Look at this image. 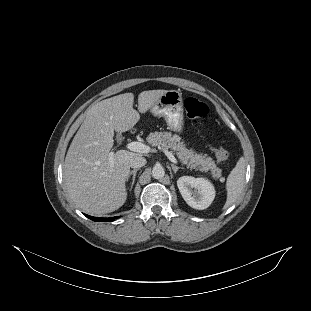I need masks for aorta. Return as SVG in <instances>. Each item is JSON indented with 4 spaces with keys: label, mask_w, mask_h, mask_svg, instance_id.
<instances>
[{
    "label": "aorta",
    "mask_w": 311,
    "mask_h": 311,
    "mask_svg": "<svg viewBox=\"0 0 311 311\" xmlns=\"http://www.w3.org/2000/svg\"><path fill=\"white\" fill-rule=\"evenodd\" d=\"M165 176V170L161 165H155L152 169V177L154 179H161Z\"/></svg>",
    "instance_id": "762f6f07"
}]
</instances>
